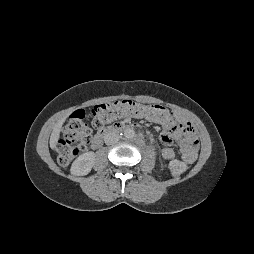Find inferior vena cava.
<instances>
[{
	"label": "inferior vena cava",
	"instance_id": "1",
	"mask_svg": "<svg viewBox=\"0 0 254 254\" xmlns=\"http://www.w3.org/2000/svg\"><path fill=\"white\" fill-rule=\"evenodd\" d=\"M119 134L115 131H109L104 136L105 144L112 145L114 143H117L119 141Z\"/></svg>",
	"mask_w": 254,
	"mask_h": 254
}]
</instances>
